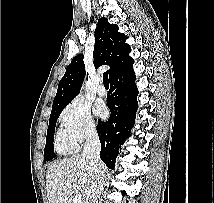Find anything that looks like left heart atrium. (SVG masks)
<instances>
[{"label":"left heart atrium","mask_w":214,"mask_h":203,"mask_svg":"<svg viewBox=\"0 0 214 203\" xmlns=\"http://www.w3.org/2000/svg\"><path fill=\"white\" fill-rule=\"evenodd\" d=\"M96 113H97V115H99V116H103L104 114H105V112H106V110H105V107H104V105H102V104H99L97 107H96Z\"/></svg>","instance_id":"1"}]
</instances>
